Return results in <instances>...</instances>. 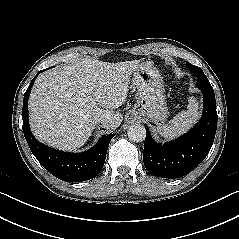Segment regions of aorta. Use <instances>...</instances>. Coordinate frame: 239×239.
Here are the masks:
<instances>
[{"mask_svg": "<svg viewBox=\"0 0 239 239\" xmlns=\"http://www.w3.org/2000/svg\"><path fill=\"white\" fill-rule=\"evenodd\" d=\"M128 137L134 142H142L146 136L145 127L141 124H134L128 128Z\"/></svg>", "mask_w": 239, "mask_h": 239, "instance_id": "aorta-1", "label": "aorta"}]
</instances>
